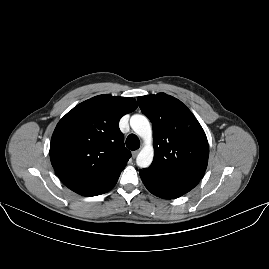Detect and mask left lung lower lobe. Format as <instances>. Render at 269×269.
Returning <instances> with one entry per match:
<instances>
[{
    "instance_id": "1",
    "label": "left lung lower lobe",
    "mask_w": 269,
    "mask_h": 269,
    "mask_svg": "<svg viewBox=\"0 0 269 269\" xmlns=\"http://www.w3.org/2000/svg\"><path fill=\"white\" fill-rule=\"evenodd\" d=\"M140 177L146 188L163 199L178 198L192 190L197 184L189 181L170 179L140 170Z\"/></svg>"
}]
</instances>
